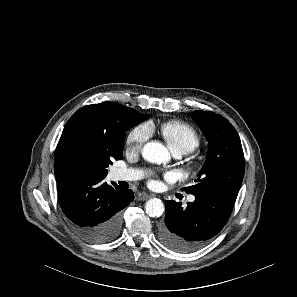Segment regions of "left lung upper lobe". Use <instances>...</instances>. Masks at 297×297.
Wrapping results in <instances>:
<instances>
[{"label": "left lung upper lobe", "mask_w": 297, "mask_h": 297, "mask_svg": "<svg viewBox=\"0 0 297 297\" xmlns=\"http://www.w3.org/2000/svg\"><path fill=\"white\" fill-rule=\"evenodd\" d=\"M190 116L208 140V156L195 180L185 187L186 193H237L244 176V154L240 138L232 124L213 112L194 111Z\"/></svg>", "instance_id": "left-lung-upper-lobe-1"}]
</instances>
